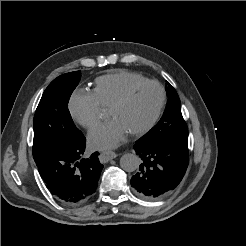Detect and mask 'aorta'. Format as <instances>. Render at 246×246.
<instances>
[{"label":"aorta","instance_id":"762f6f07","mask_svg":"<svg viewBox=\"0 0 246 246\" xmlns=\"http://www.w3.org/2000/svg\"><path fill=\"white\" fill-rule=\"evenodd\" d=\"M141 163L140 158L132 153H126L120 158V166L124 171L133 172Z\"/></svg>","mask_w":246,"mask_h":246}]
</instances>
